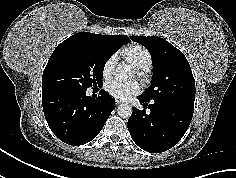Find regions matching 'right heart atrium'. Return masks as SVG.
<instances>
[{"label": "right heart atrium", "instance_id": "right-heart-atrium-1", "mask_svg": "<svg viewBox=\"0 0 236 178\" xmlns=\"http://www.w3.org/2000/svg\"><path fill=\"white\" fill-rule=\"evenodd\" d=\"M116 61H117L116 55H112L108 57L107 60L104 62L102 67V74L105 78H109L113 74Z\"/></svg>", "mask_w": 236, "mask_h": 178}]
</instances>
